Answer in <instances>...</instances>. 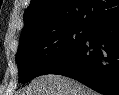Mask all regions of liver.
<instances>
[{
    "label": "liver",
    "mask_w": 119,
    "mask_h": 95,
    "mask_svg": "<svg viewBox=\"0 0 119 95\" xmlns=\"http://www.w3.org/2000/svg\"><path fill=\"white\" fill-rule=\"evenodd\" d=\"M17 95H98L83 84L56 74L42 75Z\"/></svg>",
    "instance_id": "1"
}]
</instances>
